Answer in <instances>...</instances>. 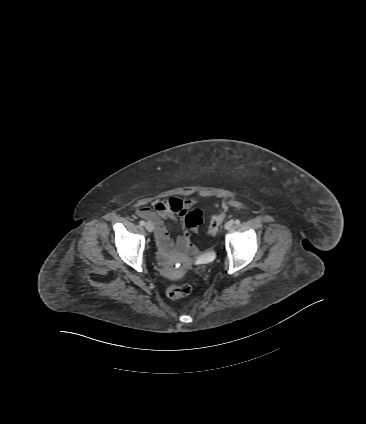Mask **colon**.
<instances>
[{"instance_id":"obj_1","label":"colon","mask_w":366,"mask_h":424,"mask_svg":"<svg viewBox=\"0 0 366 424\" xmlns=\"http://www.w3.org/2000/svg\"><path fill=\"white\" fill-rule=\"evenodd\" d=\"M225 219V213L222 212L218 215H215L210 220L207 227V235L213 236L217 232L219 226ZM203 222V213L200 209L194 208L192 210L187 211L184 214V224L188 231L197 232L199 226ZM190 252L194 253L195 248L190 246ZM192 292V287L189 284H177L172 285L167 289V294L171 298H182L190 295Z\"/></svg>"}]
</instances>
